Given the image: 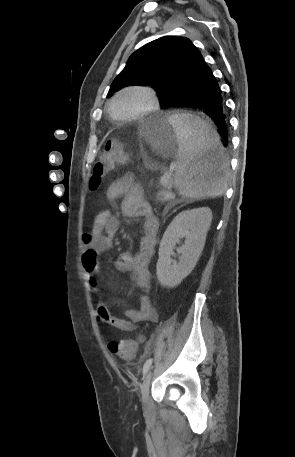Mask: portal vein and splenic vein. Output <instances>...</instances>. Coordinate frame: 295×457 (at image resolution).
I'll use <instances>...</instances> for the list:
<instances>
[{"label":"portal vein and splenic vein","instance_id":"obj_1","mask_svg":"<svg viewBox=\"0 0 295 457\" xmlns=\"http://www.w3.org/2000/svg\"><path fill=\"white\" fill-rule=\"evenodd\" d=\"M174 167H171L169 171L165 172L160 179V182L166 184L172 177Z\"/></svg>","mask_w":295,"mask_h":457}]
</instances>
